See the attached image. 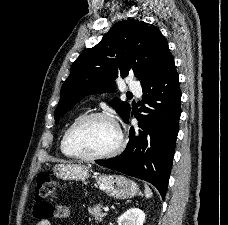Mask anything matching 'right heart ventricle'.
<instances>
[{"mask_svg": "<svg viewBox=\"0 0 228 225\" xmlns=\"http://www.w3.org/2000/svg\"><path fill=\"white\" fill-rule=\"evenodd\" d=\"M77 118H78V117H77ZM77 118H76V119H77ZM76 119H75V120H76ZM75 120H74V121H75ZM74 121H73V122H74ZM73 122H72V123H73ZM72 123H71V124H72ZM69 127H70V125H69V126L65 129V131L63 132L62 137H61V141H60V149H61V152H62L64 155H66V156H69V155L67 154V152H66V150H65L64 138H65L66 131L68 130Z\"/></svg>", "mask_w": 228, "mask_h": 225, "instance_id": "right-heart-ventricle-1", "label": "right heart ventricle"}]
</instances>
